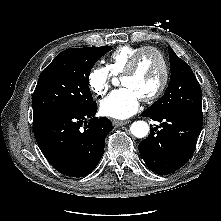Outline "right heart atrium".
Listing matches in <instances>:
<instances>
[{"mask_svg":"<svg viewBox=\"0 0 221 221\" xmlns=\"http://www.w3.org/2000/svg\"><path fill=\"white\" fill-rule=\"evenodd\" d=\"M112 80V73L107 67H94L88 75V85L96 95L105 94Z\"/></svg>","mask_w":221,"mask_h":221,"instance_id":"obj_1","label":"right heart atrium"}]
</instances>
